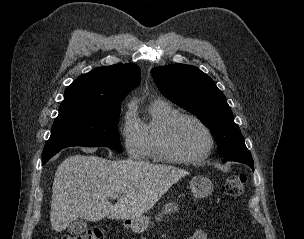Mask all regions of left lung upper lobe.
<instances>
[{
    "label": "left lung upper lobe",
    "mask_w": 304,
    "mask_h": 239,
    "mask_svg": "<svg viewBox=\"0 0 304 239\" xmlns=\"http://www.w3.org/2000/svg\"><path fill=\"white\" fill-rule=\"evenodd\" d=\"M160 92L174 103L198 116L212 132L224 160L253 168V159L234 122L224 94L214 81L197 67L173 64L151 70Z\"/></svg>",
    "instance_id": "left-lung-upper-lobe-1"
}]
</instances>
